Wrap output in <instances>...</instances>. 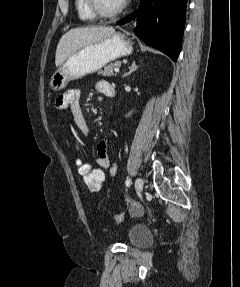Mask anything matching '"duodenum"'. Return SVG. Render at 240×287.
I'll use <instances>...</instances> for the list:
<instances>
[{
  "label": "duodenum",
  "mask_w": 240,
  "mask_h": 287,
  "mask_svg": "<svg viewBox=\"0 0 240 287\" xmlns=\"http://www.w3.org/2000/svg\"><path fill=\"white\" fill-rule=\"evenodd\" d=\"M115 95V93H111L110 96L113 97Z\"/></svg>",
  "instance_id": "duodenum-1"
}]
</instances>
